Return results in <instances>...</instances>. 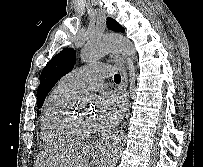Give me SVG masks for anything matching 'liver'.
I'll use <instances>...</instances> for the list:
<instances>
[{"mask_svg":"<svg viewBox=\"0 0 203 167\" xmlns=\"http://www.w3.org/2000/svg\"><path fill=\"white\" fill-rule=\"evenodd\" d=\"M92 147L70 144L59 149H44L37 159L36 167H87L90 157L97 158Z\"/></svg>","mask_w":203,"mask_h":167,"instance_id":"1","label":"liver"}]
</instances>
